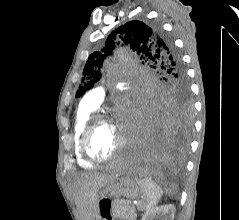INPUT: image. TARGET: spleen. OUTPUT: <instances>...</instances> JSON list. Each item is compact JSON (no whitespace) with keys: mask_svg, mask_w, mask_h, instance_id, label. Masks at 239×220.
<instances>
[{"mask_svg":"<svg viewBox=\"0 0 239 220\" xmlns=\"http://www.w3.org/2000/svg\"><path fill=\"white\" fill-rule=\"evenodd\" d=\"M134 180L140 186L143 193L142 199L137 204L138 210L147 211L156 206L163 195L160 186L150 178L134 177Z\"/></svg>","mask_w":239,"mask_h":220,"instance_id":"3e777b00","label":"spleen"}]
</instances>
